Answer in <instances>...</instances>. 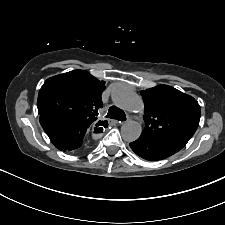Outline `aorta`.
Masks as SVG:
<instances>
[{
  "instance_id": "762f6f07",
  "label": "aorta",
  "mask_w": 225,
  "mask_h": 225,
  "mask_svg": "<svg viewBox=\"0 0 225 225\" xmlns=\"http://www.w3.org/2000/svg\"><path fill=\"white\" fill-rule=\"evenodd\" d=\"M112 99L114 104L124 110L130 112H140L144 108L142 99L132 90L119 87L113 94ZM142 133V126L136 121H127L121 127V135L127 142L137 140Z\"/></svg>"
}]
</instances>
